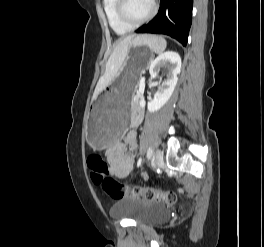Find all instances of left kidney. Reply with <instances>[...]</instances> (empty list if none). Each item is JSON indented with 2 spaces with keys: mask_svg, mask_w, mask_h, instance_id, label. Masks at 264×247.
Instances as JSON below:
<instances>
[{
  "mask_svg": "<svg viewBox=\"0 0 264 247\" xmlns=\"http://www.w3.org/2000/svg\"><path fill=\"white\" fill-rule=\"evenodd\" d=\"M166 67L168 70L167 80L158 88L153 100L149 101L147 108L149 112L158 111L170 99L178 81L181 71V58L174 51H166L156 57L150 64L149 73L152 78L158 75L160 68Z\"/></svg>",
  "mask_w": 264,
  "mask_h": 247,
  "instance_id": "5707ae66",
  "label": "left kidney"
}]
</instances>
